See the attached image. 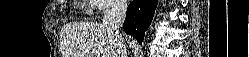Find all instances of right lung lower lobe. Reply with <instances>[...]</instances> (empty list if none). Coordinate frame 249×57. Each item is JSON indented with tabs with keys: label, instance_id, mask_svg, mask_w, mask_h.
<instances>
[{
	"label": "right lung lower lobe",
	"instance_id": "right-lung-lower-lobe-1",
	"mask_svg": "<svg viewBox=\"0 0 249 57\" xmlns=\"http://www.w3.org/2000/svg\"><path fill=\"white\" fill-rule=\"evenodd\" d=\"M157 3L158 0H136L128 6L123 28L140 44L143 41L145 31L151 24Z\"/></svg>",
	"mask_w": 249,
	"mask_h": 57
}]
</instances>
